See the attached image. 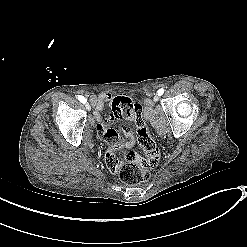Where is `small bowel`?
Segmentation results:
<instances>
[{
  "mask_svg": "<svg viewBox=\"0 0 247 247\" xmlns=\"http://www.w3.org/2000/svg\"><path fill=\"white\" fill-rule=\"evenodd\" d=\"M104 104H110L111 106V113L110 118H118L123 119L122 113H121V107L125 109H130L133 105V102L131 99L123 96H111V95H103L100 96L97 100V107L94 108L93 113L95 115L96 120L98 121V124L100 127L95 128L94 133L97 136H101L102 139L107 140L110 139L111 143L114 145L112 148L108 149L105 160L107 162L106 167L107 169L115 173L119 169L118 162L116 160V151H121L125 148H129L132 145V132H133V125L130 122L131 120L128 118L129 121H124L121 125V131L127 138V141L122 142L120 144H116L119 141L118 132L114 128L105 129V126H107L108 121L106 118L101 117L104 113L103 105ZM134 113L140 114L143 112L144 107L142 104L137 103L133 107Z\"/></svg>",
  "mask_w": 247,
  "mask_h": 247,
  "instance_id": "small-bowel-1",
  "label": "small bowel"
}]
</instances>
